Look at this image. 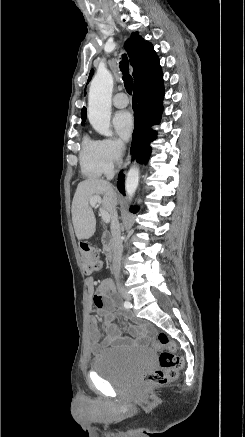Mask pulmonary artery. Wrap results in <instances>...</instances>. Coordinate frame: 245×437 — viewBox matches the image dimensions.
Here are the masks:
<instances>
[{
  "instance_id": "obj_1",
  "label": "pulmonary artery",
  "mask_w": 245,
  "mask_h": 437,
  "mask_svg": "<svg viewBox=\"0 0 245 437\" xmlns=\"http://www.w3.org/2000/svg\"><path fill=\"white\" fill-rule=\"evenodd\" d=\"M112 102L116 108H124L129 104V99L124 93L121 92V93H117L113 97Z\"/></svg>"
}]
</instances>
